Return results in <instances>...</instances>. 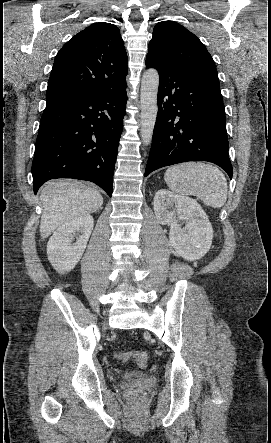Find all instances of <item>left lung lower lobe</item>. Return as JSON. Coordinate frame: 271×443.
Masks as SVG:
<instances>
[{"mask_svg": "<svg viewBox=\"0 0 271 443\" xmlns=\"http://www.w3.org/2000/svg\"><path fill=\"white\" fill-rule=\"evenodd\" d=\"M160 82L158 115L145 177L164 166L209 161L233 175L228 156L225 110L214 72L146 57Z\"/></svg>", "mask_w": 271, "mask_h": 443, "instance_id": "1", "label": "left lung lower lobe"}]
</instances>
